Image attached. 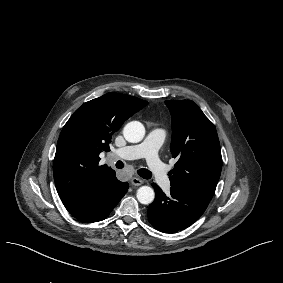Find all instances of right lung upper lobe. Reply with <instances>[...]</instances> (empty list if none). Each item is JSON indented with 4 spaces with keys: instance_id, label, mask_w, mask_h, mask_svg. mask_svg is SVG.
I'll use <instances>...</instances> for the list:
<instances>
[{
    "instance_id": "cb5924a9",
    "label": "right lung upper lobe",
    "mask_w": 283,
    "mask_h": 283,
    "mask_svg": "<svg viewBox=\"0 0 283 283\" xmlns=\"http://www.w3.org/2000/svg\"><path fill=\"white\" fill-rule=\"evenodd\" d=\"M147 103L107 93L73 113L60 133L53 162L55 185L64 205L79 202L107 185L115 171L99 165V154L110 150L112 135Z\"/></svg>"
}]
</instances>
